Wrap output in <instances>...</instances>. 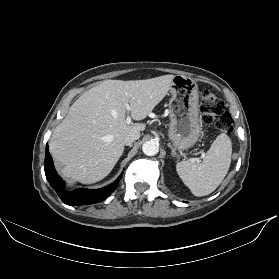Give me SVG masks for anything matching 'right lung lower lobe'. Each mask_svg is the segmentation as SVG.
Returning <instances> with one entry per match:
<instances>
[{
	"mask_svg": "<svg viewBox=\"0 0 279 279\" xmlns=\"http://www.w3.org/2000/svg\"><path fill=\"white\" fill-rule=\"evenodd\" d=\"M44 168L46 178L52 186V188L57 192L58 196L62 199V201L65 204L71 206L94 204L105 200L117 188L118 183L121 179L120 176L112 184L100 189H76L73 191H67L65 189L64 181L57 174L54 168L53 159L50 153L48 152V145L46 148Z\"/></svg>",
	"mask_w": 279,
	"mask_h": 279,
	"instance_id": "right-lung-lower-lobe-1",
	"label": "right lung lower lobe"
}]
</instances>
